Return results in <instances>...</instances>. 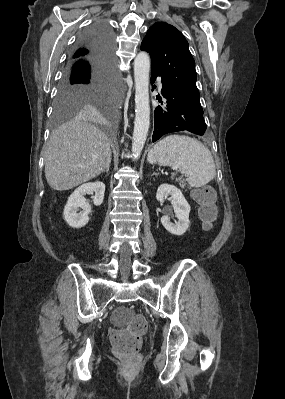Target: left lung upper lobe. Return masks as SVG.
I'll return each instance as SVG.
<instances>
[{
	"instance_id": "left-lung-upper-lobe-1",
	"label": "left lung upper lobe",
	"mask_w": 285,
	"mask_h": 399,
	"mask_svg": "<svg viewBox=\"0 0 285 399\" xmlns=\"http://www.w3.org/2000/svg\"><path fill=\"white\" fill-rule=\"evenodd\" d=\"M141 50L150 54L152 69L203 113L196 86L195 61L183 34L166 22H157L147 31Z\"/></svg>"
}]
</instances>
